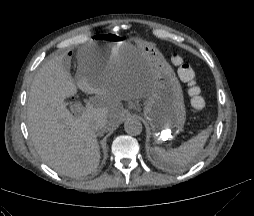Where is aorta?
Masks as SVG:
<instances>
[{
  "label": "aorta",
  "mask_w": 254,
  "mask_h": 216,
  "mask_svg": "<svg viewBox=\"0 0 254 216\" xmlns=\"http://www.w3.org/2000/svg\"><path fill=\"white\" fill-rule=\"evenodd\" d=\"M125 132L132 136L141 134L143 125L137 118L130 117L124 123Z\"/></svg>",
  "instance_id": "obj_1"
}]
</instances>
